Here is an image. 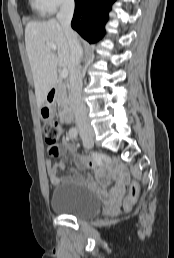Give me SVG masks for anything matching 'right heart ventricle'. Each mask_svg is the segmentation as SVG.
Masks as SVG:
<instances>
[{"label": "right heart ventricle", "instance_id": "1", "mask_svg": "<svg viewBox=\"0 0 174 258\" xmlns=\"http://www.w3.org/2000/svg\"><path fill=\"white\" fill-rule=\"evenodd\" d=\"M32 7L40 13L45 12L40 0H30Z\"/></svg>", "mask_w": 174, "mask_h": 258}]
</instances>
